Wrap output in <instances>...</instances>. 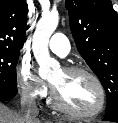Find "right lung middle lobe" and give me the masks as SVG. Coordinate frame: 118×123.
<instances>
[{
    "label": "right lung middle lobe",
    "instance_id": "obj_1",
    "mask_svg": "<svg viewBox=\"0 0 118 123\" xmlns=\"http://www.w3.org/2000/svg\"><path fill=\"white\" fill-rule=\"evenodd\" d=\"M20 52L0 49V88H16V65Z\"/></svg>",
    "mask_w": 118,
    "mask_h": 123
}]
</instances>
